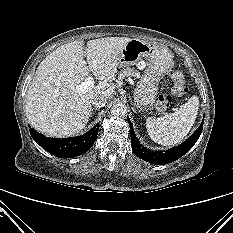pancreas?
<instances>
[{"label":"pancreas","mask_w":233,"mask_h":233,"mask_svg":"<svg viewBox=\"0 0 233 233\" xmlns=\"http://www.w3.org/2000/svg\"><path fill=\"white\" fill-rule=\"evenodd\" d=\"M124 77L138 78L140 77V73L134 68L126 67V68H123L119 74L120 79H123Z\"/></svg>","instance_id":"1"}]
</instances>
